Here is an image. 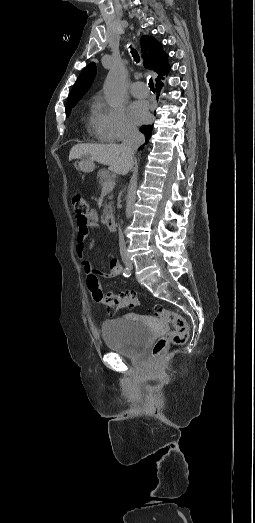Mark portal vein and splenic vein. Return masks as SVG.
<instances>
[{"label": "portal vein and splenic vein", "mask_w": 255, "mask_h": 523, "mask_svg": "<svg viewBox=\"0 0 255 523\" xmlns=\"http://www.w3.org/2000/svg\"><path fill=\"white\" fill-rule=\"evenodd\" d=\"M114 186H115V182H104V184L101 185V190H102L101 195L107 196V190L108 191L113 190Z\"/></svg>", "instance_id": "18ae733b"}]
</instances>
